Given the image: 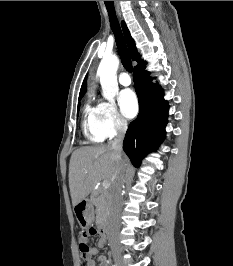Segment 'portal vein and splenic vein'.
<instances>
[{
    "instance_id": "18ae733b",
    "label": "portal vein and splenic vein",
    "mask_w": 233,
    "mask_h": 266,
    "mask_svg": "<svg viewBox=\"0 0 233 266\" xmlns=\"http://www.w3.org/2000/svg\"><path fill=\"white\" fill-rule=\"evenodd\" d=\"M102 186H103L104 189H107V188H109V186H110V182L107 181V180H105V181L103 182Z\"/></svg>"
}]
</instances>
